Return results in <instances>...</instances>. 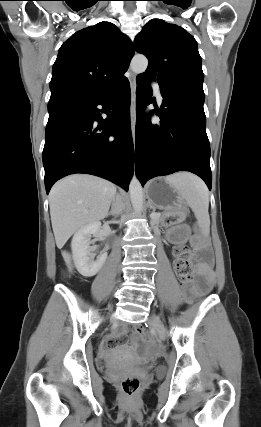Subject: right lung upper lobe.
<instances>
[{
    "label": "right lung upper lobe",
    "instance_id": "right-lung-upper-lobe-1",
    "mask_svg": "<svg viewBox=\"0 0 261 427\" xmlns=\"http://www.w3.org/2000/svg\"><path fill=\"white\" fill-rule=\"evenodd\" d=\"M135 49L110 22L74 33L59 49L50 82L48 111L101 97L126 77Z\"/></svg>",
    "mask_w": 261,
    "mask_h": 427
}]
</instances>
